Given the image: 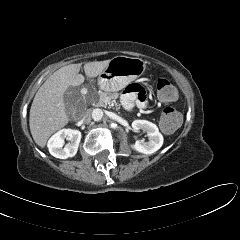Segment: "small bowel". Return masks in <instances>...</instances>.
<instances>
[{"mask_svg":"<svg viewBox=\"0 0 240 240\" xmlns=\"http://www.w3.org/2000/svg\"><path fill=\"white\" fill-rule=\"evenodd\" d=\"M121 101L126 109H133L135 106L145 109L147 107V97L145 90L139 84H129L123 91Z\"/></svg>","mask_w":240,"mask_h":240,"instance_id":"small-bowel-1","label":"small bowel"}]
</instances>
